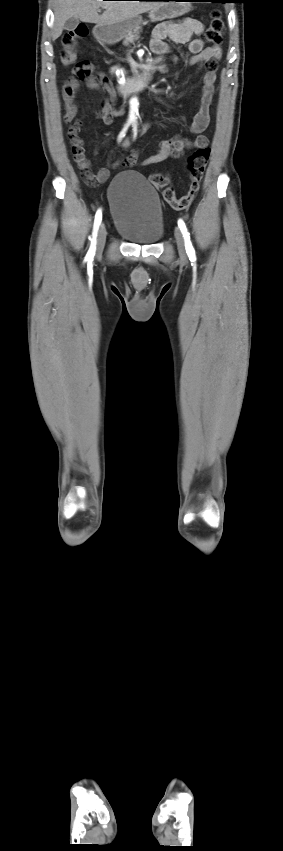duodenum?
Segmentation results:
<instances>
[{
	"label": "duodenum",
	"instance_id": "duodenum-1",
	"mask_svg": "<svg viewBox=\"0 0 283 851\" xmlns=\"http://www.w3.org/2000/svg\"><path fill=\"white\" fill-rule=\"evenodd\" d=\"M154 72L153 62H149L141 74L133 77H128L117 85V91L121 95H128L146 88L152 78Z\"/></svg>",
	"mask_w": 283,
	"mask_h": 851
}]
</instances>
